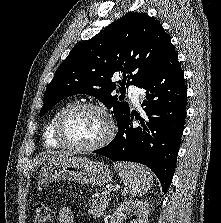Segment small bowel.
I'll use <instances>...</instances> for the list:
<instances>
[{"mask_svg": "<svg viewBox=\"0 0 221 223\" xmlns=\"http://www.w3.org/2000/svg\"><path fill=\"white\" fill-rule=\"evenodd\" d=\"M57 223H75V217L69 207H62L58 213Z\"/></svg>", "mask_w": 221, "mask_h": 223, "instance_id": "c3829d8e", "label": "small bowel"}]
</instances>
